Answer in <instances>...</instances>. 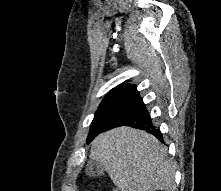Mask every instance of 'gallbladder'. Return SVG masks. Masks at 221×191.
Returning <instances> with one entry per match:
<instances>
[{
    "mask_svg": "<svg viewBox=\"0 0 221 191\" xmlns=\"http://www.w3.org/2000/svg\"><path fill=\"white\" fill-rule=\"evenodd\" d=\"M104 166L94 160H90L86 167V174L90 177H99L104 173Z\"/></svg>",
    "mask_w": 221,
    "mask_h": 191,
    "instance_id": "obj_1",
    "label": "gallbladder"
}]
</instances>
